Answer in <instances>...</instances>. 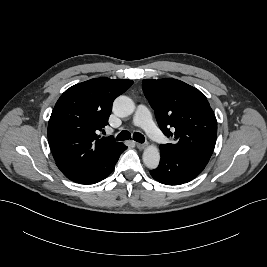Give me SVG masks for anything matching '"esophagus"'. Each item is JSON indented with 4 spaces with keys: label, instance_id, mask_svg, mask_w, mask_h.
I'll return each mask as SVG.
<instances>
[{
    "label": "esophagus",
    "instance_id": "34e87169",
    "mask_svg": "<svg viewBox=\"0 0 267 267\" xmlns=\"http://www.w3.org/2000/svg\"><path fill=\"white\" fill-rule=\"evenodd\" d=\"M136 146H137V148L140 149V150H143V149L146 148V144H144V143H136Z\"/></svg>",
    "mask_w": 267,
    "mask_h": 267
}]
</instances>
